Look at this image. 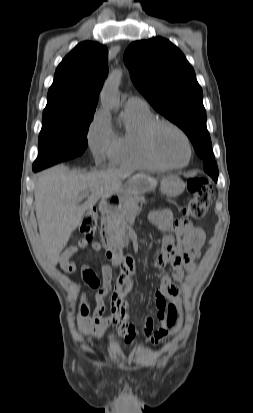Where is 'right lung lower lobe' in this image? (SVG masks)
<instances>
[{"instance_id":"obj_1","label":"right lung lower lobe","mask_w":253,"mask_h":413,"mask_svg":"<svg viewBox=\"0 0 253 413\" xmlns=\"http://www.w3.org/2000/svg\"><path fill=\"white\" fill-rule=\"evenodd\" d=\"M35 172L39 171L38 169H33Z\"/></svg>"}]
</instances>
